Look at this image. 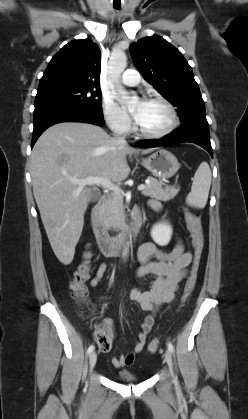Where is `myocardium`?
Returning <instances> with one entry per match:
<instances>
[{
  "label": "myocardium",
  "mask_w": 248,
  "mask_h": 419,
  "mask_svg": "<svg viewBox=\"0 0 248 419\" xmlns=\"http://www.w3.org/2000/svg\"><path fill=\"white\" fill-rule=\"evenodd\" d=\"M146 101L158 102V103H161L162 105H164L165 108L167 109L169 115H170V122L161 131L147 132V131L140 128L137 120L135 119V121H134V131L136 132V134L139 135L140 137H143V138H146V139H160V138L166 137L169 134H171L177 128V126L179 125V115H178V112H177L175 106L168 99H166L163 96H159V95L150 96L146 99Z\"/></svg>",
  "instance_id": "f54148a6"
}]
</instances>
